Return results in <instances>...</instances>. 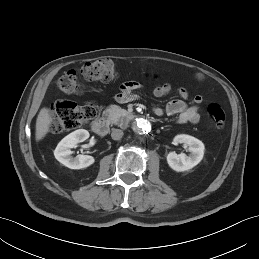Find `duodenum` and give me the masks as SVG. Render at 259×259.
Wrapping results in <instances>:
<instances>
[{
  "instance_id": "410a0bca",
  "label": "duodenum",
  "mask_w": 259,
  "mask_h": 259,
  "mask_svg": "<svg viewBox=\"0 0 259 259\" xmlns=\"http://www.w3.org/2000/svg\"><path fill=\"white\" fill-rule=\"evenodd\" d=\"M126 116L129 119L135 118V114L131 113V112H127ZM91 127H92L93 132L100 136L106 135L109 130L108 121L103 117H100V118H97L96 120H94Z\"/></svg>"
}]
</instances>
